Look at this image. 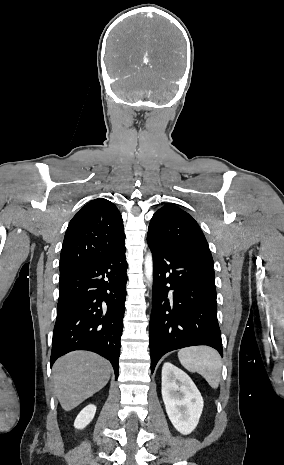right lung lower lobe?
<instances>
[{
	"mask_svg": "<svg viewBox=\"0 0 284 465\" xmlns=\"http://www.w3.org/2000/svg\"><path fill=\"white\" fill-rule=\"evenodd\" d=\"M125 244L97 262L60 275L51 366L74 350L108 359L118 377L120 338L125 312Z\"/></svg>",
	"mask_w": 284,
	"mask_h": 465,
	"instance_id": "1",
	"label": "right lung lower lobe"
}]
</instances>
